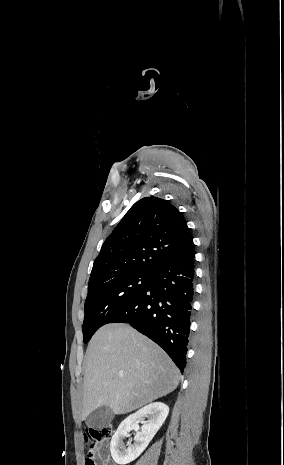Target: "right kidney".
<instances>
[{
  "label": "right kidney",
  "mask_w": 284,
  "mask_h": 465,
  "mask_svg": "<svg viewBox=\"0 0 284 465\" xmlns=\"http://www.w3.org/2000/svg\"><path fill=\"white\" fill-rule=\"evenodd\" d=\"M168 413L169 407L164 405V403H150V405H146L143 409H139L134 415H129L127 419H124L110 443V451L115 463H118V465H128L131 461H135L145 451L154 435L162 427L166 417H168ZM143 417H147L148 423H144ZM137 419H141V433H136L133 439L134 445L127 443L126 449V447H123V439L128 437L129 431L134 429L133 425Z\"/></svg>",
  "instance_id": "1"
}]
</instances>
